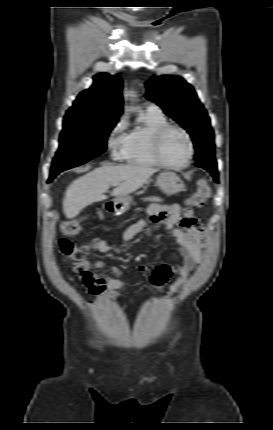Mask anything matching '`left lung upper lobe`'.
<instances>
[{"instance_id":"5c2ea615","label":"left lung upper lobe","mask_w":273,"mask_h":430,"mask_svg":"<svg viewBox=\"0 0 273 430\" xmlns=\"http://www.w3.org/2000/svg\"><path fill=\"white\" fill-rule=\"evenodd\" d=\"M146 85L147 99L157 103L193 138L196 148L195 160L213 158L214 133L207 112L193 87L181 77L168 75L153 77Z\"/></svg>"}]
</instances>
